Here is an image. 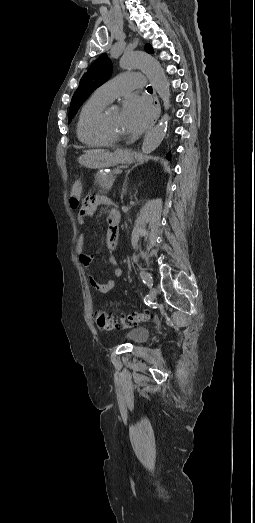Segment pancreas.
<instances>
[{
    "mask_svg": "<svg viewBox=\"0 0 255 523\" xmlns=\"http://www.w3.org/2000/svg\"><path fill=\"white\" fill-rule=\"evenodd\" d=\"M114 172H110L109 176H103V174H95V184L104 188L105 192H109L114 182Z\"/></svg>",
    "mask_w": 255,
    "mask_h": 523,
    "instance_id": "pancreas-1",
    "label": "pancreas"
}]
</instances>
